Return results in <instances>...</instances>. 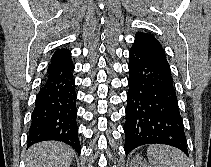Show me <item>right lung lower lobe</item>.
Listing matches in <instances>:
<instances>
[{"label": "right lung lower lobe", "mask_w": 211, "mask_h": 167, "mask_svg": "<svg viewBox=\"0 0 211 167\" xmlns=\"http://www.w3.org/2000/svg\"><path fill=\"white\" fill-rule=\"evenodd\" d=\"M74 64L66 56L49 64L36 96L27 147L48 140L64 142L80 154Z\"/></svg>", "instance_id": "98d812e1"}]
</instances>
